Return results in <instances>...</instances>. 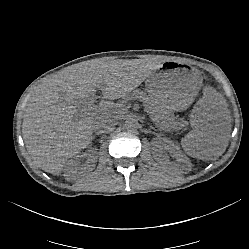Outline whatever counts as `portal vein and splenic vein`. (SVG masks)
<instances>
[{
  "instance_id": "18ae733b",
  "label": "portal vein and splenic vein",
  "mask_w": 249,
  "mask_h": 249,
  "mask_svg": "<svg viewBox=\"0 0 249 249\" xmlns=\"http://www.w3.org/2000/svg\"><path fill=\"white\" fill-rule=\"evenodd\" d=\"M95 110H96V106L93 105V102L88 103V107L83 109L84 112H96ZM146 112H148V111H146ZM149 113L153 114V112H149ZM93 114H95V113H93ZM151 119L153 121L158 120L157 117H151ZM163 123L164 124L167 123V120L163 121ZM175 125H176V122H171V124L168 127H175Z\"/></svg>"
}]
</instances>
